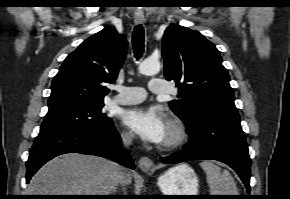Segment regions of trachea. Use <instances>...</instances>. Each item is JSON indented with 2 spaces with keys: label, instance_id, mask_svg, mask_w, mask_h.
Returning <instances> with one entry per match:
<instances>
[{
  "label": "trachea",
  "instance_id": "1",
  "mask_svg": "<svg viewBox=\"0 0 290 199\" xmlns=\"http://www.w3.org/2000/svg\"><path fill=\"white\" fill-rule=\"evenodd\" d=\"M132 44L136 59H140L144 52V29L142 25H138L134 28Z\"/></svg>",
  "mask_w": 290,
  "mask_h": 199
}]
</instances>
